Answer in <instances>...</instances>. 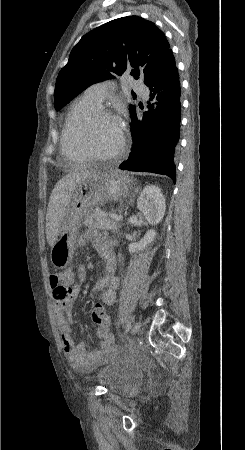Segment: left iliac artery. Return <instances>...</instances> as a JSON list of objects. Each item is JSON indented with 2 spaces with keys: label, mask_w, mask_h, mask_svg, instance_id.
I'll return each instance as SVG.
<instances>
[{
  "label": "left iliac artery",
  "mask_w": 245,
  "mask_h": 450,
  "mask_svg": "<svg viewBox=\"0 0 245 450\" xmlns=\"http://www.w3.org/2000/svg\"><path fill=\"white\" fill-rule=\"evenodd\" d=\"M131 329V322L128 321L125 327V331L128 332Z\"/></svg>",
  "instance_id": "left-iliac-artery-1"
}]
</instances>
